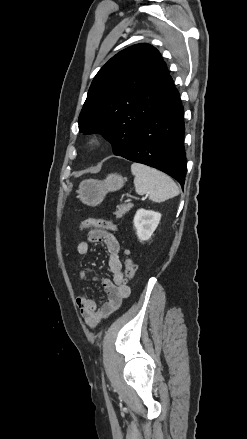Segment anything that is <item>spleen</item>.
I'll list each match as a JSON object with an SVG mask.
<instances>
[{"label":"spleen","instance_id":"spleen-1","mask_svg":"<svg viewBox=\"0 0 247 439\" xmlns=\"http://www.w3.org/2000/svg\"><path fill=\"white\" fill-rule=\"evenodd\" d=\"M135 191L139 195H148L154 202H163L179 194L176 183L165 173L149 166L133 163Z\"/></svg>","mask_w":247,"mask_h":439}]
</instances>
